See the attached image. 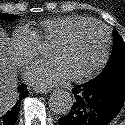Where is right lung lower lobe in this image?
<instances>
[{
	"label": "right lung lower lobe",
	"mask_w": 125,
	"mask_h": 125,
	"mask_svg": "<svg viewBox=\"0 0 125 125\" xmlns=\"http://www.w3.org/2000/svg\"><path fill=\"white\" fill-rule=\"evenodd\" d=\"M18 94L20 99L14 103L12 106H10L3 114L0 115V125H15L20 109V100L21 98H25L29 91L27 90V87L25 84L19 85L18 88Z\"/></svg>",
	"instance_id": "1"
}]
</instances>
